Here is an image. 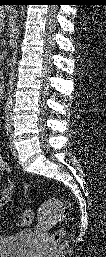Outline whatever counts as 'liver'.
I'll return each instance as SVG.
<instances>
[{"label":"liver","instance_id":"1","mask_svg":"<svg viewBox=\"0 0 106 257\" xmlns=\"http://www.w3.org/2000/svg\"><path fill=\"white\" fill-rule=\"evenodd\" d=\"M4 19H5V14H4V10L2 9V11L0 13V25H1V28L4 27Z\"/></svg>","mask_w":106,"mask_h":257}]
</instances>
